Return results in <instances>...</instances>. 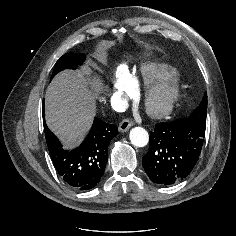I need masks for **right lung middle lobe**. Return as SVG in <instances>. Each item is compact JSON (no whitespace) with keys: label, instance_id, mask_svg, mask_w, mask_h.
<instances>
[{"label":"right lung middle lobe","instance_id":"dd1d6c3e","mask_svg":"<svg viewBox=\"0 0 236 236\" xmlns=\"http://www.w3.org/2000/svg\"><path fill=\"white\" fill-rule=\"evenodd\" d=\"M85 60L83 54L66 53L57 62L53 70L52 78L64 69H76L77 66L82 65Z\"/></svg>","mask_w":236,"mask_h":236}]
</instances>
